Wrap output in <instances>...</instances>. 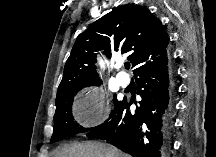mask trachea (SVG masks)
<instances>
[{"label": "trachea", "mask_w": 216, "mask_h": 157, "mask_svg": "<svg viewBox=\"0 0 216 157\" xmlns=\"http://www.w3.org/2000/svg\"><path fill=\"white\" fill-rule=\"evenodd\" d=\"M124 65H125V68H126V69H129V68H130V63H129V62H125Z\"/></svg>", "instance_id": "obj_1"}]
</instances>
